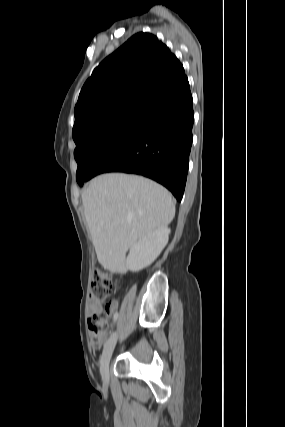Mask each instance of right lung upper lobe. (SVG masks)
I'll return each instance as SVG.
<instances>
[{
	"mask_svg": "<svg viewBox=\"0 0 285 427\" xmlns=\"http://www.w3.org/2000/svg\"><path fill=\"white\" fill-rule=\"evenodd\" d=\"M184 74L177 57L155 35H133L85 82L74 110L73 133L124 107L145 105L155 92Z\"/></svg>",
	"mask_w": 285,
	"mask_h": 427,
	"instance_id": "obj_1",
	"label": "right lung upper lobe"
}]
</instances>
